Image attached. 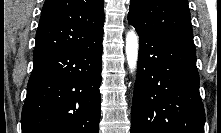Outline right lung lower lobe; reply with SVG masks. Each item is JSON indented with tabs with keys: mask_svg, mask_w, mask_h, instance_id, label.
I'll list each match as a JSON object with an SVG mask.
<instances>
[{
	"mask_svg": "<svg viewBox=\"0 0 221 133\" xmlns=\"http://www.w3.org/2000/svg\"><path fill=\"white\" fill-rule=\"evenodd\" d=\"M102 41L33 55L22 133H98Z\"/></svg>",
	"mask_w": 221,
	"mask_h": 133,
	"instance_id": "1",
	"label": "right lung lower lobe"
}]
</instances>
